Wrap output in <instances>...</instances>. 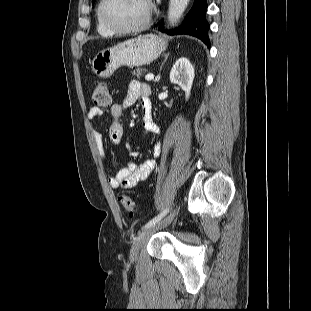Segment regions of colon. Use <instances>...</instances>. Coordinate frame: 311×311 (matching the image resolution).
Wrapping results in <instances>:
<instances>
[{"label": "colon", "mask_w": 311, "mask_h": 311, "mask_svg": "<svg viewBox=\"0 0 311 311\" xmlns=\"http://www.w3.org/2000/svg\"><path fill=\"white\" fill-rule=\"evenodd\" d=\"M91 101L96 108H106L110 105V93L108 87L104 83H97L94 86ZM119 201L129 215L135 213V203L129 196L121 195Z\"/></svg>", "instance_id": "obj_1"}]
</instances>
